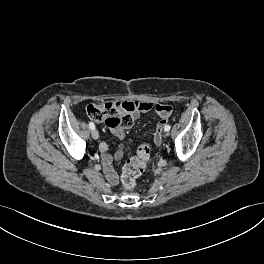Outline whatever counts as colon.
I'll use <instances>...</instances> for the list:
<instances>
[{
    "instance_id": "colon-1",
    "label": "colon",
    "mask_w": 264,
    "mask_h": 264,
    "mask_svg": "<svg viewBox=\"0 0 264 264\" xmlns=\"http://www.w3.org/2000/svg\"><path fill=\"white\" fill-rule=\"evenodd\" d=\"M135 107L121 102H96L87 106L88 116L97 121L104 122L111 129H128L133 125V111ZM166 120H159L156 126L154 140L161 144L163 138V127ZM150 159V147L147 144H141L135 155L125 163L121 182L125 189L135 188L138 177L142 174L148 160Z\"/></svg>"
}]
</instances>
